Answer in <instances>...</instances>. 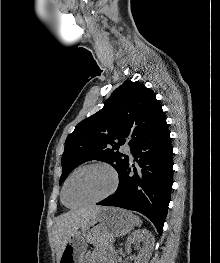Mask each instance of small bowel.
Returning <instances> with one entry per match:
<instances>
[{
	"mask_svg": "<svg viewBox=\"0 0 220 263\" xmlns=\"http://www.w3.org/2000/svg\"><path fill=\"white\" fill-rule=\"evenodd\" d=\"M87 263H94V261L92 260L91 257H88V261H87Z\"/></svg>",
	"mask_w": 220,
	"mask_h": 263,
	"instance_id": "c3829d8e",
	"label": "small bowel"
}]
</instances>
